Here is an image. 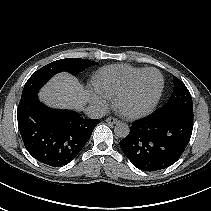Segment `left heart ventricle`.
<instances>
[{
    "mask_svg": "<svg viewBox=\"0 0 211 211\" xmlns=\"http://www.w3.org/2000/svg\"><path fill=\"white\" fill-rule=\"evenodd\" d=\"M161 86V77L156 72L147 73L134 91L122 101L128 111H138L148 107L156 97Z\"/></svg>",
    "mask_w": 211,
    "mask_h": 211,
    "instance_id": "left-heart-ventricle-1",
    "label": "left heart ventricle"
}]
</instances>
